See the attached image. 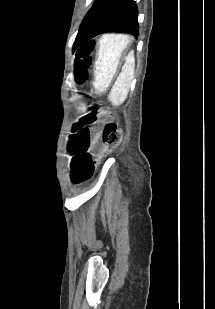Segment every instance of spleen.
<instances>
[{"label": "spleen", "mask_w": 215, "mask_h": 309, "mask_svg": "<svg viewBox=\"0 0 215 309\" xmlns=\"http://www.w3.org/2000/svg\"><path fill=\"white\" fill-rule=\"evenodd\" d=\"M131 56H133V50L132 52H130ZM130 74H128L127 72V68H123L122 72H120V76H118L116 82H115V86H119V92H117L116 96H114L113 92H111V100L113 102V104H122V102H124L127 94H128V90H129V86H130V78H129Z\"/></svg>", "instance_id": "3e777b00"}]
</instances>
